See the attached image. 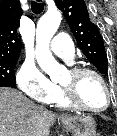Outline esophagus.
<instances>
[{"mask_svg":"<svg viewBox=\"0 0 117 136\" xmlns=\"http://www.w3.org/2000/svg\"><path fill=\"white\" fill-rule=\"evenodd\" d=\"M37 2H42V0H36ZM64 118V116H62Z\"/></svg>","mask_w":117,"mask_h":136,"instance_id":"1","label":"esophagus"}]
</instances>
